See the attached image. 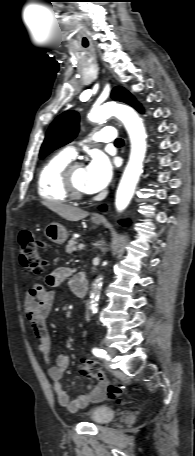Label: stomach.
I'll return each instance as SVG.
<instances>
[{"label":"stomach","instance_id":"stomach-1","mask_svg":"<svg viewBox=\"0 0 195 456\" xmlns=\"http://www.w3.org/2000/svg\"><path fill=\"white\" fill-rule=\"evenodd\" d=\"M95 225H100L101 220H93ZM46 237L56 244H63L68 238V232L66 228L59 223H50L45 228Z\"/></svg>","mask_w":195,"mask_h":456}]
</instances>
